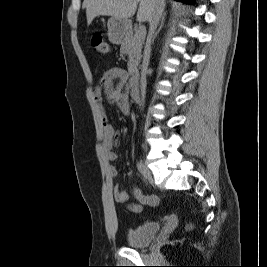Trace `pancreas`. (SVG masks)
I'll use <instances>...</instances> for the list:
<instances>
[{
    "mask_svg": "<svg viewBox=\"0 0 267 267\" xmlns=\"http://www.w3.org/2000/svg\"><path fill=\"white\" fill-rule=\"evenodd\" d=\"M143 40L137 38L133 31H129L121 44L120 52L129 56L128 72L130 75L137 72V66L141 58Z\"/></svg>",
    "mask_w": 267,
    "mask_h": 267,
    "instance_id": "1",
    "label": "pancreas"
}]
</instances>
